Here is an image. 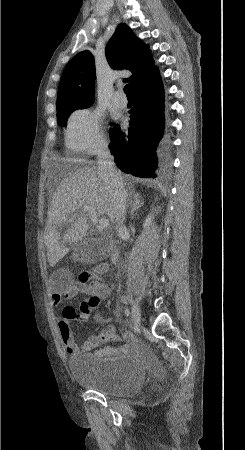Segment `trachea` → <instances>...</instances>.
I'll list each match as a JSON object with an SVG mask.
<instances>
[{"label": "trachea", "mask_w": 245, "mask_h": 450, "mask_svg": "<svg viewBox=\"0 0 245 450\" xmlns=\"http://www.w3.org/2000/svg\"><path fill=\"white\" fill-rule=\"evenodd\" d=\"M124 92L126 93L127 96H128V95L131 96L130 87H129L128 84L125 85V87H124Z\"/></svg>", "instance_id": "1"}]
</instances>
